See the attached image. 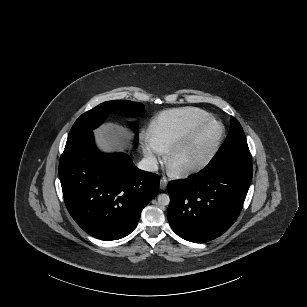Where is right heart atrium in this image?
<instances>
[{
    "instance_id": "d8ad5b80",
    "label": "right heart atrium",
    "mask_w": 307,
    "mask_h": 307,
    "mask_svg": "<svg viewBox=\"0 0 307 307\" xmlns=\"http://www.w3.org/2000/svg\"><path fill=\"white\" fill-rule=\"evenodd\" d=\"M143 155L146 165L151 169L157 168L163 159L162 151L153 142L144 143Z\"/></svg>"
}]
</instances>
